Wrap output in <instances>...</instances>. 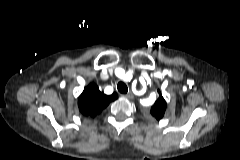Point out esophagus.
<instances>
[{
    "mask_svg": "<svg viewBox=\"0 0 240 160\" xmlns=\"http://www.w3.org/2000/svg\"><path fill=\"white\" fill-rule=\"evenodd\" d=\"M125 97H126L127 99H133L134 95L132 94V92H129V93H127V94L125 95Z\"/></svg>",
    "mask_w": 240,
    "mask_h": 160,
    "instance_id": "1",
    "label": "esophagus"
}]
</instances>
